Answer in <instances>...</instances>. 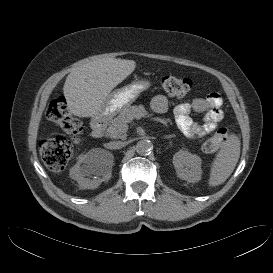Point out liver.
<instances>
[{
  "mask_svg": "<svg viewBox=\"0 0 273 273\" xmlns=\"http://www.w3.org/2000/svg\"><path fill=\"white\" fill-rule=\"evenodd\" d=\"M136 68L134 60L102 58L73 68L63 86L68 110L79 117L106 115L110 92Z\"/></svg>",
  "mask_w": 273,
  "mask_h": 273,
  "instance_id": "1",
  "label": "liver"
}]
</instances>
